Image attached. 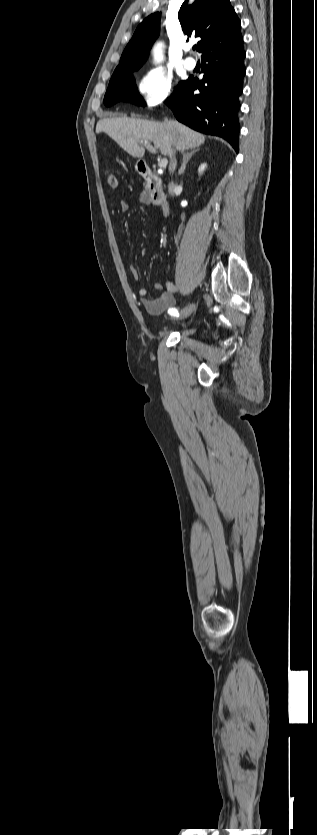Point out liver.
Instances as JSON below:
<instances>
[{
	"mask_svg": "<svg viewBox=\"0 0 317 835\" xmlns=\"http://www.w3.org/2000/svg\"><path fill=\"white\" fill-rule=\"evenodd\" d=\"M106 133L123 150L135 158H142L143 141L153 142L162 155L172 156L175 150L184 152L199 147L205 135L175 120L154 122L130 117L103 118L96 125V133Z\"/></svg>",
	"mask_w": 317,
	"mask_h": 835,
	"instance_id": "liver-1",
	"label": "liver"
}]
</instances>
